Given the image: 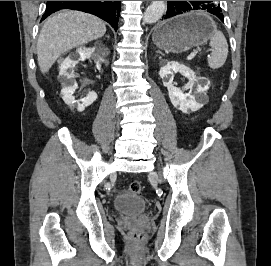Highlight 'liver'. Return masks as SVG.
Returning <instances> with one entry per match:
<instances>
[{
    "label": "liver",
    "instance_id": "6515ba94",
    "mask_svg": "<svg viewBox=\"0 0 271 266\" xmlns=\"http://www.w3.org/2000/svg\"><path fill=\"white\" fill-rule=\"evenodd\" d=\"M105 33V23L96 16L72 10L55 13L45 22L38 38L40 71L47 73L61 54Z\"/></svg>",
    "mask_w": 271,
    "mask_h": 266
}]
</instances>
